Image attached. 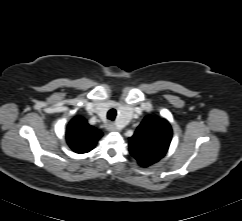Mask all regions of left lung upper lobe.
<instances>
[{
  "instance_id": "left-lung-upper-lobe-1",
  "label": "left lung upper lobe",
  "mask_w": 242,
  "mask_h": 221,
  "mask_svg": "<svg viewBox=\"0 0 242 221\" xmlns=\"http://www.w3.org/2000/svg\"><path fill=\"white\" fill-rule=\"evenodd\" d=\"M171 137L172 129L167 120L146 116L129 138L130 153L141 166L147 167L166 154Z\"/></svg>"
}]
</instances>
